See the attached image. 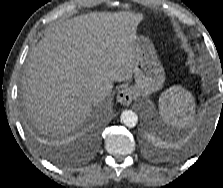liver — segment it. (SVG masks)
Masks as SVG:
<instances>
[{
	"mask_svg": "<svg viewBox=\"0 0 223 188\" xmlns=\"http://www.w3.org/2000/svg\"><path fill=\"white\" fill-rule=\"evenodd\" d=\"M143 14L95 12L67 19L31 49L21 80L27 116L40 130L65 134L92 112L89 93L131 80L136 26Z\"/></svg>",
	"mask_w": 223,
	"mask_h": 188,
	"instance_id": "obj_1",
	"label": "liver"
}]
</instances>
